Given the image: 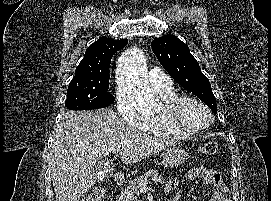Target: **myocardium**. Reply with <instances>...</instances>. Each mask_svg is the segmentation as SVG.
I'll use <instances>...</instances> for the list:
<instances>
[{
    "mask_svg": "<svg viewBox=\"0 0 271 201\" xmlns=\"http://www.w3.org/2000/svg\"><path fill=\"white\" fill-rule=\"evenodd\" d=\"M188 102L199 105L207 112L209 120L206 125L196 127L184 121L180 111L182 106ZM157 114L164 120V122L169 124L174 129L189 134H195L206 130L214 121L213 113L206 103L194 96L185 94H173L163 97L161 99L160 109Z\"/></svg>",
    "mask_w": 271,
    "mask_h": 201,
    "instance_id": "f54148a6",
    "label": "myocardium"
}]
</instances>
